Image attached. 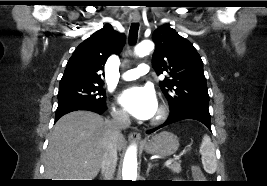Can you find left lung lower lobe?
Returning <instances> with one entry per match:
<instances>
[{
  "instance_id": "obj_1",
  "label": "left lung lower lobe",
  "mask_w": 267,
  "mask_h": 186,
  "mask_svg": "<svg viewBox=\"0 0 267 186\" xmlns=\"http://www.w3.org/2000/svg\"><path fill=\"white\" fill-rule=\"evenodd\" d=\"M184 119L197 120L203 123L206 127H208L211 130V120H210L211 117H210L208 109H204L200 107H186L178 111L170 112V115L167 121L163 125L155 129L149 130L147 131V133L150 134L163 126H166L171 123H175V122H178Z\"/></svg>"
}]
</instances>
